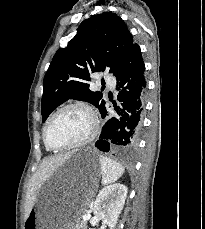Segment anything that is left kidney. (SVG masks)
<instances>
[{
	"mask_svg": "<svg viewBox=\"0 0 205 229\" xmlns=\"http://www.w3.org/2000/svg\"><path fill=\"white\" fill-rule=\"evenodd\" d=\"M127 192L128 189L125 185L116 183L104 187L96 197L93 208L94 214L110 229H113L117 223Z\"/></svg>",
	"mask_w": 205,
	"mask_h": 229,
	"instance_id": "5707ae66",
	"label": "left kidney"
}]
</instances>
